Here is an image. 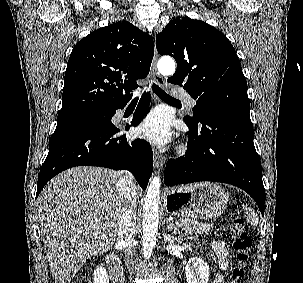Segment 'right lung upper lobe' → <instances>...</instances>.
<instances>
[{"instance_id": "obj_1", "label": "right lung upper lobe", "mask_w": 303, "mask_h": 283, "mask_svg": "<svg viewBox=\"0 0 303 283\" xmlns=\"http://www.w3.org/2000/svg\"><path fill=\"white\" fill-rule=\"evenodd\" d=\"M153 54V38L127 21L93 31L71 52L58 117L126 105Z\"/></svg>"}]
</instances>
